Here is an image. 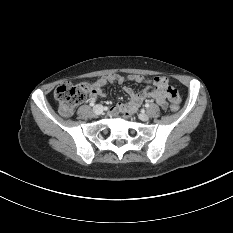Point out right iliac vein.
I'll return each instance as SVG.
<instances>
[{
	"label": "right iliac vein",
	"instance_id": "obj_1",
	"mask_svg": "<svg viewBox=\"0 0 233 233\" xmlns=\"http://www.w3.org/2000/svg\"><path fill=\"white\" fill-rule=\"evenodd\" d=\"M93 111L95 114L100 115L103 112V106L102 105H95L93 107Z\"/></svg>",
	"mask_w": 233,
	"mask_h": 233
}]
</instances>
